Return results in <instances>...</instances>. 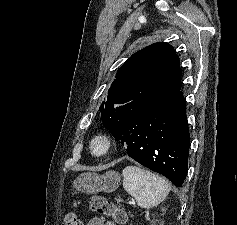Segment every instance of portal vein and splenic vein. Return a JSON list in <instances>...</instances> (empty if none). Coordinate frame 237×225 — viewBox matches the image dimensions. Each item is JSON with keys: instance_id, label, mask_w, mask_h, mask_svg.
<instances>
[{"instance_id": "portal-vein-and-splenic-vein-1", "label": "portal vein and splenic vein", "mask_w": 237, "mask_h": 225, "mask_svg": "<svg viewBox=\"0 0 237 225\" xmlns=\"http://www.w3.org/2000/svg\"><path fill=\"white\" fill-rule=\"evenodd\" d=\"M131 204H135V201H134V199H131Z\"/></svg>"}]
</instances>
